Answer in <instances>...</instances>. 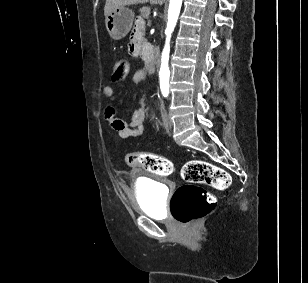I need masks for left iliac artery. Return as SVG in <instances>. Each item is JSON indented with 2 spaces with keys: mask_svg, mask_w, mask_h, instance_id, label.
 I'll list each match as a JSON object with an SVG mask.
<instances>
[{
  "mask_svg": "<svg viewBox=\"0 0 308 283\" xmlns=\"http://www.w3.org/2000/svg\"><path fill=\"white\" fill-rule=\"evenodd\" d=\"M167 95H168V93L163 92V96H164V97H167Z\"/></svg>",
  "mask_w": 308,
  "mask_h": 283,
  "instance_id": "1",
  "label": "left iliac artery"
}]
</instances>
